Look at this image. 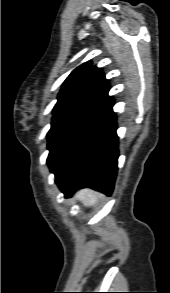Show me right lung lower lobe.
<instances>
[{
  "instance_id": "obj_1",
  "label": "right lung lower lobe",
  "mask_w": 170,
  "mask_h": 293,
  "mask_svg": "<svg viewBox=\"0 0 170 293\" xmlns=\"http://www.w3.org/2000/svg\"><path fill=\"white\" fill-rule=\"evenodd\" d=\"M116 116L111 110L90 138L55 176L66 197L80 188H92L110 195L117 174L118 137Z\"/></svg>"
}]
</instances>
